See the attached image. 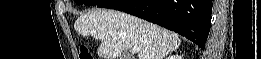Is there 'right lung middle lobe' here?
Wrapping results in <instances>:
<instances>
[{"label":"right lung middle lobe","mask_w":261,"mask_h":59,"mask_svg":"<svg viewBox=\"0 0 261 59\" xmlns=\"http://www.w3.org/2000/svg\"><path fill=\"white\" fill-rule=\"evenodd\" d=\"M102 0H75L76 4L78 5H97L101 2Z\"/></svg>","instance_id":"right-lung-middle-lobe-1"}]
</instances>
